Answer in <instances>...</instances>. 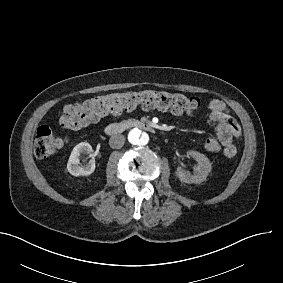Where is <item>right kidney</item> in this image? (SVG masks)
<instances>
[{"mask_svg":"<svg viewBox=\"0 0 283 283\" xmlns=\"http://www.w3.org/2000/svg\"><path fill=\"white\" fill-rule=\"evenodd\" d=\"M92 147L87 142H81L77 144L69 157L67 163V170L73 176H88L92 174L95 170V159L92 158L88 164L80 165L79 157L82 153H90Z\"/></svg>","mask_w":283,"mask_h":283,"instance_id":"right-kidney-1","label":"right kidney"}]
</instances>
